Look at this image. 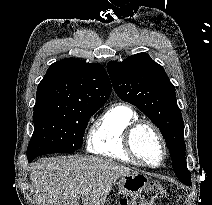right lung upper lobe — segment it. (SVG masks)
I'll list each match as a JSON object with an SVG mask.
<instances>
[{"mask_svg": "<svg viewBox=\"0 0 212 205\" xmlns=\"http://www.w3.org/2000/svg\"><path fill=\"white\" fill-rule=\"evenodd\" d=\"M110 94L111 83L101 64L66 58L50 65L38 85L34 110L104 105Z\"/></svg>", "mask_w": 212, "mask_h": 205, "instance_id": "obj_1", "label": "right lung upper lobe"}]
</instances>
